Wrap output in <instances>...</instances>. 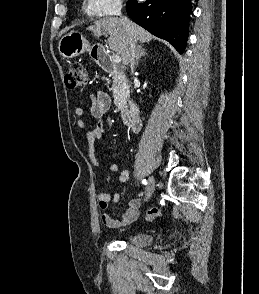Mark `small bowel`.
<instances>
[{
  "label": "small bowel",
  "instance_id": "small-bowel-1",
  "mask_svg": "<svg viewBox=\"0 0 259 294\" xmlns=\"http://www.w3.org/2000/svg\"><path fill=\"white\" fill-rule=\"evenodd\" d=\"M111 99L110 96L103 92L98 91L92 96V103L90 107V114L96 121L93 128L86 132V142L88 147V157L92 164L96 167H100L101 163L98 161L95 154L96 142L102 137L104 133L103 117L110 108ZM74 114L79 118L77 120V126L80 129L85 128V122L81 119L84 114V110L81 107H77L74 110ZM110 172L117 174L118 181L126 182L130 179V172L128 170H120L116 164H110L108 166ZM99 207L104 212L102 214V222L104 225L111 229H122L132 224L139 216V210L142 205V200L139 197L133 198L128 203V208L125 213L119 219L113 218L106 213L109 208L110 202H118V197L110 193L102 192L98 195Z\"/></svg>",
  "mask_w": 259,
  "mask_h": 294
}]
</instances>
